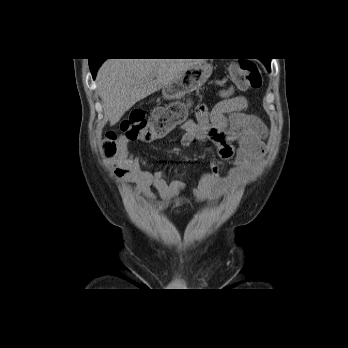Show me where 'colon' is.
Instances as JSON below:
<instances>
[{
    "label": "colon",
    "mask_w": 348,
    "mask_h": 348,
    "mask_svg": "<svg viewBox=\"0 0 348 348\" xmlns=\"http://www.w3.org/2000/svg\"><path fill=\"white\" fill-rule=\"evenodd\" d=\"M236 84L242 89H256L262 84L259 67L248 59L237 60L231 66ZM186 109L178 102L156 107L148 117L143 109H133L121 123V131L130 141L153 142L166 136L186 121ZM122 145L114 132H109L102 142V154L116 157Z\"/></svg>",
    "instance_id": "obj_1"
}]
</instances>
